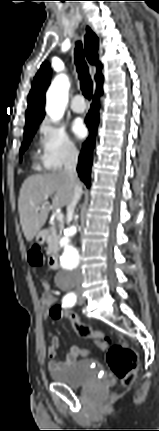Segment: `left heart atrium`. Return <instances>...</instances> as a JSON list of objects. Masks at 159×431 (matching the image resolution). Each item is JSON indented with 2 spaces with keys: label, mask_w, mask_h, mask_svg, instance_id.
I'll list each match as a JSON object with an SVG mask.
<instances>
[{
  "label": "left heart atrium",
  "mask_w": 159,
  "mask_h": 431,
  "mask_svg": "<svg viewBox=\"0 0 159 431\" xmlns=\"http://www.w3.org/2000/svg\"><path fill=\"white\" fill-rule=\"evenodd\" d=\"M71 131L78 139H81L86 135V127L81 119H76L73 121L71 125Z\"/></svg>",
  "instance_id": "left-heart-atrium-1"
}]
</instances>
